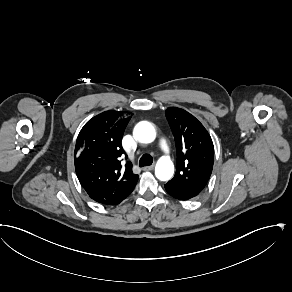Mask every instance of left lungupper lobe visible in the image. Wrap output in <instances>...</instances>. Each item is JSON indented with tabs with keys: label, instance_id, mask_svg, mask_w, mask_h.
<instances>
[{
	"label": "left lung upper lobe",
	"instance_id": "obj_1",
	"mask_svg": "<svg viewBox=\"0 0 292 292\" xmlns=\"http://www.w3.org/2000/svg\"><path fill=\"white\" fill-rule=\"evenodd\" d=\"M166 118L174 135L177 169L169 183L200 193L213 169L214 146L204 126L189 112L168 108Z\"/></svg>",
	"mask_w": 292,
	"mask_h": 292
}]
</instances>
